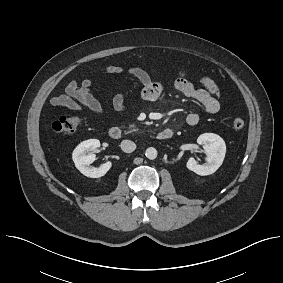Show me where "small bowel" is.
I'll return each mask as SVG.
<instances>
[{"instance_id": "c3829d8e", "label": "small bowel", "mask_w": 283, "mask_h": 283, "mask_svg": "<svg viewBox=\"0 0 283 283\" xmlns=\"http://www.w3.org/2000/svg\"><path fill=\"white\" fill-rule=\"evenodd\" d=\"M102 73H123L127 72L134 76L142 85L141 96L146 101H155L163 93L162 83L153 79L152 75L140 67L123 68L120 66H108L101 70ZM201 88H196L188 79L187 74L178 71L177 78L173 82V87L184 96L196 100L206 112L215 114L220 109V93L216 83L209 77L200 80ZM92 81L88 78L80 83L71 81L66 85L65 94L53 96L50 104L56 107H65L70 110L81 111L88 109L97 115H103L104 109L99 101L91 94ZM113 108L122 112L125 109V96L122 93L116 94L112 100ZM200 116L196 112H191L186 118L190 126L199 123Z\"/></svg>"}]
</instances>
